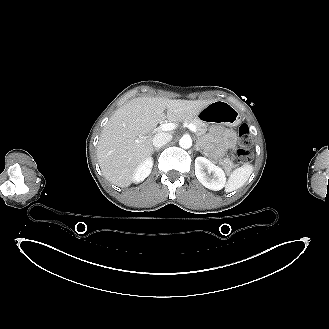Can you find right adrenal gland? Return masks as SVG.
I'll use <instances>...</instances> for the list:
<instances>
[{
    "label": "right adrenal gland",
    "mask_w": 329,
    "mask_h": 329,
    "mask_svg": "<svg viewBox=\"0 0 329 329\" xmlns=\"http://www.w3.org/2000/svg\"><path fill=\"white\" fill-rule=\"evenodd\" d=\"M159 150H160V148H153V149H152V154H153L155 151L158 152Z\"/></svg>",
    "instance_id": "right-adrenal-gland-1"
}]
</instances>
